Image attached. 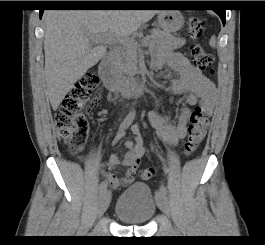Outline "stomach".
Segmentation results:
<instances>
[{
	"label": "stomach",
	"mask_w": 265,
	"mask_h": 245,
	"mask_svg": "<svg viewBox=\"0 0 265 245\" xmlns=\"http://www.w3.org/2000/svg\"><path fill=\"white\" fill-rule=\"evenodd\" d=\"M183 15L177 10L160 11L158 13V26L166 33H174L182 28Z\"/></svg>",
	"instance_id": "1"
}]
</instances>
